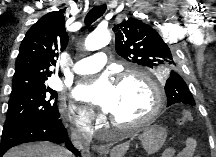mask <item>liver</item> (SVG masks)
Masks as SVG:
<instances>
[{
    "instance_id": "liver-1",
    "label": "liver",
    "mask_w": 216,
    "mask_h": 157,
    "mask_svg": "<svg viewBox=\"0 0 216 157\" xmlns=\"http://www.w3.org/2000/svg\"><path fill=\"white\" fill-rule=\"evenodd\" d=\"M118 149H113L112 156L117 155ZM71 153L58 145L48 142L23 144L10 149L4 157H71Z\"/></svg>"
}]
</instances>
